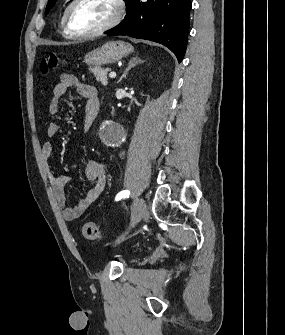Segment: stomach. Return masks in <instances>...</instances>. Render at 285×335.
Here are the masks:
<instances>
[{
  "mask_svg": "<svg viewBox=\"0 0 285 335\" xmlns=\"http://www.w3.org/2000/svg\"><path fill=\"white\" fill-rule=\"evenodd\" d=\"M134 48L127 44V42H122V40H117V42H106L101 48H96V50H91L88 52L84 58L85 64L88 66H97L101 68L104 64H115V62H120L122 58L128 56L133 52Z\"/></svg>",
  "mask_w": 285,
  "mask_h": 335,
  "instance_id": "stomach-1",
  "label": "stomach"
}]
</instances>
